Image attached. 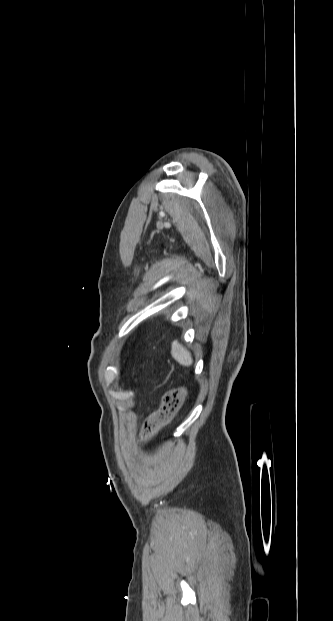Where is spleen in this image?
<instances>
[{"instance_id": "spleen-1", "label": "spleen", "mask_w": 333, "mask_h": 621, "mask_svg": "<svg viewBox=\"0 0 333 621\" xmlns=\"http://www.w3.org/2000/svg\"><path fill=\"white\" fill-rule=\"evenodd\" d=\"M171 355L179 364L183 366L188 367V366H191L193 363V359H192L190 352L184 347H182L178 343V341L173 342Z\"/></svg>"}]
</instances>
